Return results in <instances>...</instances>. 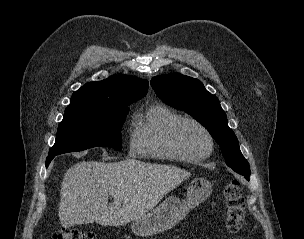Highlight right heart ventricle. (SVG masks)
Listing matches in <instances>:
<instances>
[{
	"label": "right heart ventricle",
	"mask_w": 304,
	"mask_h": 239,
	"mask_svg": "<svg viewBox=\"0 0 304 239\" xmlns=\"http://www.w3.org/2000/svg\"><path fill=\"white\" fill-rule=\"evenodd\" d=\"M180 118V114L165 105H151L134 124L140 141L137 153L151 159L183 160L169 140L170 128Z\"/></svg>",
	"instance_id": "obj_1"
}]
</instances>
